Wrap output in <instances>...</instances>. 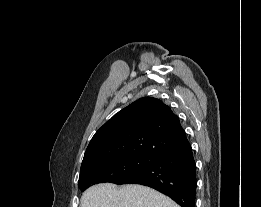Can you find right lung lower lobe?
I'll return each mask as SVG.
<instances>
[{
    "instance_id": "right-lung-lower-lobe-1",
    "label": "right lung lower lobe",
    "mask_w": 261,
    "mask_h": 207,
    "mask_svg": "<svg viewBox=\"0 0 261 207\" xmlns=\"http://www.w3.org/2000/svg\"><path fill=\"white\" fill-rule=\"evenodd\" d=\"M128 183L152 187L181 207H195L196 164L190 144L160 157L148 168L122 180L119 185Z\"/></svg>"
}]
</instances>
